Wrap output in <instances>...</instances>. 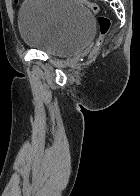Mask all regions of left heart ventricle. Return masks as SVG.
<instances>
[{
	"instance_id": "b2bd125f",
	"label": "left heart ventricle",
	"mask_w": 140,
	"mask_h": 196,
	"mask_svg": "<svg viewBox=\"0 0 140 196\" xmlns=\"http://www.w3.org/2000/svg\"><path fill=\"white\" fill-rule=\"evenodd\" d=\"M45 192H56V191H45Z\"/></svg>"
}]
</instances>
